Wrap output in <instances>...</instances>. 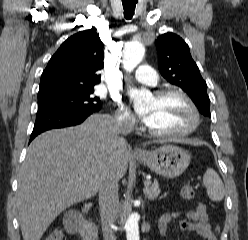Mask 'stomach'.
Listing matches in <instances>:
<instances>
[{"label": "stomach", "mask_w": 248, "mask_h": 240, "mask_svg": "<svg viewBox=\"0 0 248 240\" xmlns=\"http://www.w3.org/2000/svg\"><path fill=\"white\" fill-rule=\"evenodd\" d=\"M136 159L155 173L167 178L182 174L190 164L188 151L171 144H165L153 151H147Z\"/></svg>", "instance_id": "stomach-1"}]
</instances>
